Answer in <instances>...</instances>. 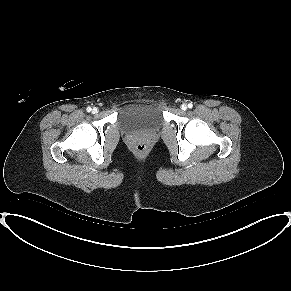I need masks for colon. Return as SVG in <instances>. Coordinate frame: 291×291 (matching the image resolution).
Wrapping results in <instances>:
<instances>
[{
    "label": "colon",
    "instance_id": "5ec220e1",
    "mask_svg": "<svg viewBox=\"0 0 291 291\" xmlns=\"http://www.w3.org/2000/svg\"><path fill=\"white\" fill-rule=\"evenodd\" d=\"M133 150H134L136 155L143 156L147 153L148 148L144 143H137L134 146Z\"/></svg>",
    "mask_w": 291,
    "mask_h": 291
}]
</instances>
